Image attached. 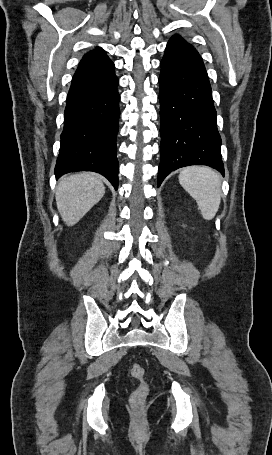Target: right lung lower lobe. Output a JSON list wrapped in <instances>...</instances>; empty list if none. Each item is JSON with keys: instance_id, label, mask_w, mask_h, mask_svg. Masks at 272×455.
<instances>
[{"instance_id": "98d812e1", "label": "right lung lower lobe", "mask_w": 272, "mask_h": 455, "mask_svg": "<svg viewBox=\"0 0 272 455\" xmlns=\"http://www.w3.org/2000/svg\"><path fill=\"white\" fill-rule=\"evenodd\" d=\"M118 84L114 70L71 84L56 178L68 172L94 171L105 176L117 190Z\"/></svg>"}]
</instances>
